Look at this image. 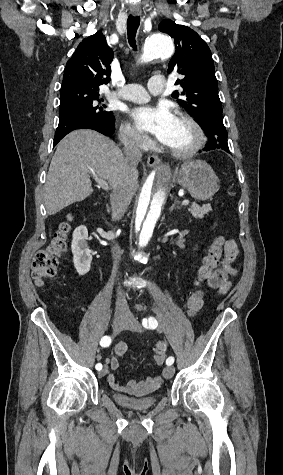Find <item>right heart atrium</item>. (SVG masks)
I'll return each mask as SVG.
<instances>
[{"label": "right heart atrium", "mask_w": 283, "mask_h": 475, "mask_svg": "<svg viewBox=\"0 0 283 475\" xmlns=\"http://www.w3.org/2000/svg\"><path fill=\"white\" fill-rule=\"evenodd\" d=\"M117 132L120 135L124 151L145 153L149 150L150 139L146 135L138 132L130 122L123 121L120 123Z\"/></svg>", "instance_id": "1"}]
</instances>
